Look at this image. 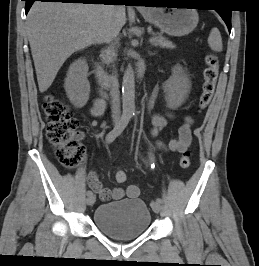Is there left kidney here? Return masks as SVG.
I'll list each match as a JSON object with an SVG mask.
<instances>
[{
	"label": "left kidney",
	"mask_w": 259,
	"mask_h": 266,
	"mask_svg": "<svg viewBox=\"0 0 259 266\" xmlns=\"http://www.w3.org/2000/svg\"><path fill=\"white\" fill-rule=\"evenodd\" d=\"M191 82L180 65L172 68L171 77L163 84V90L170 109L181 106L190 92Z\"/></svg>",
	"instance_id": "obj_1"
}]
</instances>
